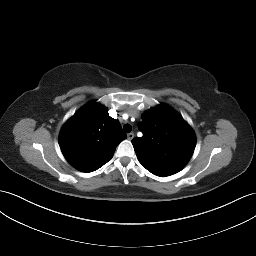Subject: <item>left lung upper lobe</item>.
<instances>
[{"mask_svg": "<svg viewBox=\"0 0 256 256\" xmlns=\"http://www.w3.org/2000/svg\"><path fill=\"white\" fill-rule=\"evenodd\" d=\"M132 144L140 163L152 174L165 177L179 172L190 160L196 145L192 128L166 105L146 111Z\"/></svg>", "mask_w": 256, "mask_h": 256, "instance_id": "left-lung-upper-lobe-1", "label": "left lung upper lobe"}]
</instances>
